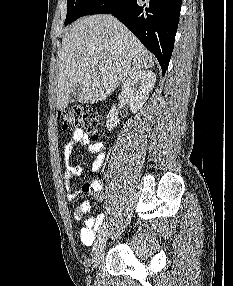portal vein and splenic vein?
Returning <instances> with one entry per match:
<instances>
[{"mask_svg":"<svg viewBox=\"0 0 233 286\" xmlns=\"http://www.w3.org/2000/svg\"><path fill=\"white\" fill-rule=\"evenodd\" d=\"M99 69L102 70L104 69V66L102 64L99 65Z\"/></svg>","mask_w":233,"mask_h":286,"instance_id":"1","label":"portal vein and splenic vein"}]
</instances>
